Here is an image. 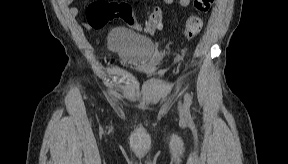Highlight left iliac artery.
Here are the masks:
<instances>
[{"label":"left iliac artery","instance_id":"44dca946","mask_svg":"<svg viewBox=\"0 0 288 164\" xmlns=\"http://www.w3.org/2000/svg\"><path fill=\"white\" fill-rule=\"evenodd\" d=\"M184 102L186 109H189L192 104V99L189 93H186L184 96Z\"/></svg>","mask_w":288,"mask_h":164}]
</instances>
